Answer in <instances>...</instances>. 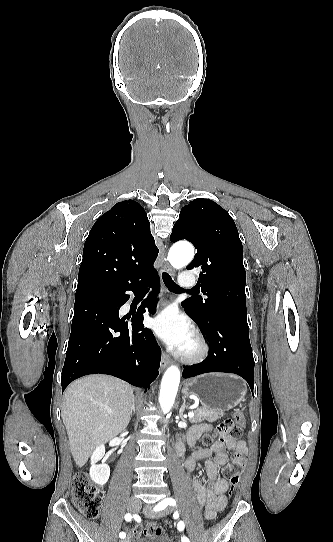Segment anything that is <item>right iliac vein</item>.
Returning <instances> with one entry per match:
<instances>
[{"label": "right iliac vein", "mask_w": 333, "mask_h": 542, "mask_svg": "<svg viewBox=\"0 0 333 542\" xmlns=\"http://www.w3.org/2000/svg\"><path fill=\"white\" fill-rule=\"evenodd\" d=\"M141 507V502L138 498L136 497H131L129 500H128V507L127 509L135 514L137 513V511L139 510V508ZM131 540V534H128V536L126 537V539L122 540L121 542H130Z\"/></svg>", "instance_id": "right-iliac-vein-1"}]
</instances>
